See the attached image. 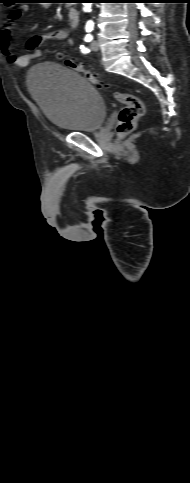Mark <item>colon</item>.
I'll list each match as a JSON object with an SVG mask.
<instances>
[{
	"label": "colon",
	"instance_id": "1",
	"mask_svg": "<svg viewBox=\"0 0 190 483\" xmlns=\"http://www.w3.org/2000/svg\"><path fill=\"white\" fill-rule=\"evenodd\" d=\"M62 60L66 67L83 74L91 84L97 87L103 86L98 77L90 70L84 68L82 64L76 63L69 58H62ZM113 96L124 105L118 116L117 133L119 135L129 134L136 128L139 118L144 114V104L134 94L114 92Z\"/></svg>",
	"mask_w": 190,
	"mask_h": 483
}]
</instances>
